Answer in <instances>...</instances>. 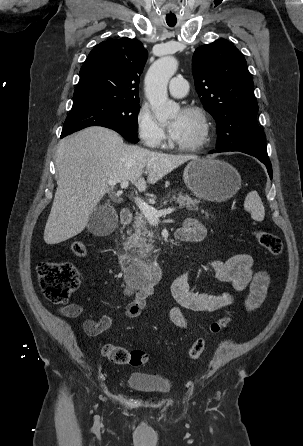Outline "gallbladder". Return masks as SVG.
<instances>
[{"mask_svg":"<svg viewBox=\"0 0 303 446\" xmlns=\"http://www.w3.org/2000/svg\"><path fill=\"white\" fill-rule=\"evenodd\" d=\"M117 216L108 206H100L94 209L88 219V230L95 235H104L114 229Z\"/></svg>","mask_w":303,"mask_h":446,"instance_id":"1","label":"gallbladder"}]
</instances>
